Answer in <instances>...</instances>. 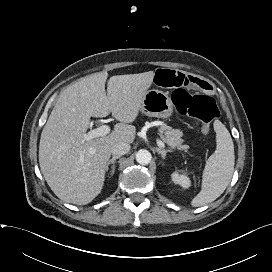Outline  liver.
I'll return each mask as SVG.
<instances>
[{
    "label": "liver",
    "instance_id": "1",
    "mask_svg": "<svg viewBox=\"0 0 272 272\" xmlns=\"http://www.w3.org/2000/svg\"><path fill=\"white\" fill-rule=\"evenodd\" d=\"M107 72L86 76L60 95L45 124L39 144L41 172L61 200L86 205L98 196L105 181L110 149L118 142L133 143V123L150 88L154 72L110 77ZM112 113L118 120L113 131L84 141L90 118Z\"/></svg>",
    "mask_w": 272,
    "mask_h": 272
}]
</instances>
